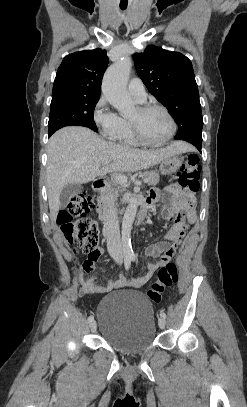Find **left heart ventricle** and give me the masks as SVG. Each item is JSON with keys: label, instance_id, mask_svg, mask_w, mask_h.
<instances>
[{"label": "left heart ventricle", "instance_id": "b2bd125f", "mask_svg": "<svg viewBox=\"0 0 247 407\" xmlns=\"http://www.w3.org/2000/svg\"><path fill=\"white\" fill-rule=\"evenodd\" d=\"M129 119L137 122L141 134L150 142L163 141L171 131L170 121L161 110L154 109L140 112L136 108Z\"/></svg>", "mask_w": 247, "mask_h": 407}]
</instances>
